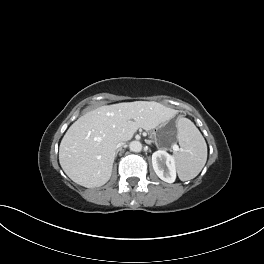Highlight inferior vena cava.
<instances>
[{"mask_svg":"<svg viewBox=\"0 0 264 264\" xmlns=\"http://www.w3.org/2000/svg\"><path fill=\"white\" fill-rule=\"evenodd\" d=\"M123 144H124V143H123L122 141L118 142V143L116 144V149H118L119 147H121Z\"/></svg>","mask_w":264,"mask_h":264,"instance_id":"inferior-vena-cava-1","label":"inferior vena cava"}]
</instances>
